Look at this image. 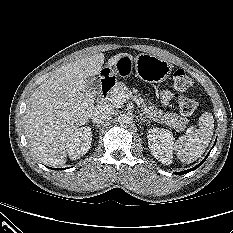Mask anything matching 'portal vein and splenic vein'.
Instances as JSON below:
<instances>
[{"label":"portal vein and splenic vein","instance_id":"obj_1","mask_svg":"<svg viewBox=\"0 0 233 233\" xmlns=\"http://www.w3.org/2000/svg\"><path fill=\"white\" fill-rule=\"evenodd\" d=\"M129 95L128 94H119L116 98H115V103L116 104H123L126 101V98H128ZM193 129V127L188 128L186 130L187 133H190L191 130Z\"/></svg>","mask_w":233,"mask_h":233}]
</instances>
